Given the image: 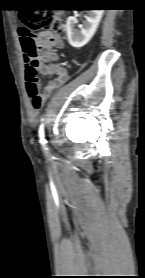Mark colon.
Wrapping results in <instances>:
<instances>
[{
    "instance_id": "obj_1",
    "label": "colon",
    "mask_w": 145,
    "mask_h": 278,
    "mask_svg": "<svg viewBox=\"0 0 145 278\" xmlns=\"http://www.w3.org/2000/svg\"><path fill=\"white\" fill-rule=\"evenodd\" d=\"M21 26L18 28L20 45L29 65L25 70V84L30 106L38 111L43 106V96L40 93L39 77L35 70L41 60L54 62L57 53L52 46L40 45L34 38V33H52L62 29L61 18L50 12L24 11L20 15Z\"/></svg>"
}]
</instances>
